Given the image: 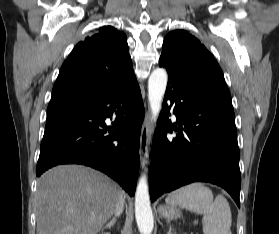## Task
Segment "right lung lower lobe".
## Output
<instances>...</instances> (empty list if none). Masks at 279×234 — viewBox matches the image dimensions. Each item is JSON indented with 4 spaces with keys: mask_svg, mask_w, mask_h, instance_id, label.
<instances>
[{
    "mask_svg": "<svg viewBox=\"0 0 279 234\" xmlns=\"http://www.w3.org/2000/svg\"><path fill=\"white\" fill-rule=\"evenodd\" d=\"M144 106L135 77L108 94L47 114L36 175L59 164L98 169L134 196L139 169ZM115 118L113 133L106 125Z\"/></svg>",
    "mask_w": 279,
    "mask_h": 234,
    "instance_id": "1",
    "label": "right lung lower lobe"
}]
</instances>
